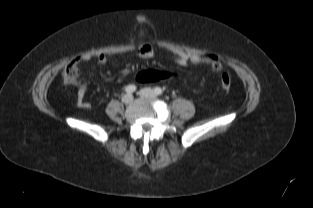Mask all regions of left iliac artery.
I'll return each instance as SVG.
<instances>
[{
	"label": "left iliac artery",
	"mask_w": 313,
	"mask_h": 208,
	"mask_svg": "<svg viewBox=\"0 0 313 208\" xmlns=\"http://www.w3.org/2000/svg\"><path fill=\"white\" fill-rule=\"evenodd\" d=\"M154 93L156 95H161L163 93V90L160 87L154 88Z\"/></svg>",
	"instance_id": "44dca946"
}]
</instances>
